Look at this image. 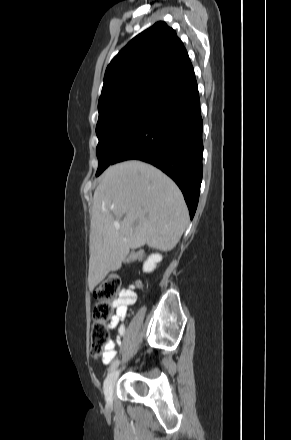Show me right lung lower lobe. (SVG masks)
Masks as SVG:
<instances>
[{
	"instance_id": "98d812e1",
	"label": "right lung lower lobe",
	"mask_w": 291,
	"mask_h": 440,
	"mask_svg": "<svg viewBox=\"0 0 291 440\" xmlns=\"http://www.w3.org/2000/svg\"><path fill=\"white\" fill-rule=\"evenodd\" d=\"M202 123L198 86L192 72L154 98L111 165L137 159L161 169L183 192L192 219L203 172Z\"/></svg>"
}]
</instances>
